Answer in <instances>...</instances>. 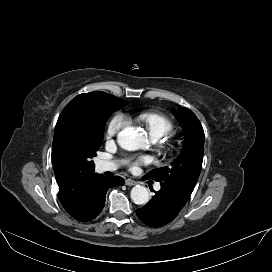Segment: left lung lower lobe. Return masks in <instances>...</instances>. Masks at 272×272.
<instances>
[{
  "label": "left lung lower lobe",
  "mask_w": 272,
  "mask_h": 272,
  "mask_svg": "<svg viewBox=\"0 0 272 272\" xmlns=\"http://www.w3.org/2000/svg\"><path fill=\"white\" fill-rule=\"evenodd\" d=\"M155 193L146 205L136 210V213L146 225L161 227L178 215L188 199L164 185H161V190Z\"/></svg>",
  "instance_id": "0a47b994"
}]
</instances>
